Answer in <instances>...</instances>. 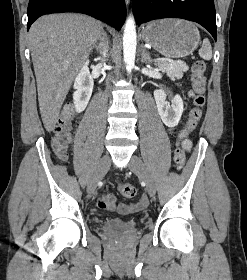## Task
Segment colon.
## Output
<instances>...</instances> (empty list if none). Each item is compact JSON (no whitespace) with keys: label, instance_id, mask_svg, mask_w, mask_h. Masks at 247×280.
<instances>
[{"label":"colon","instance_id":"obj_1","mask_svg":"<svg viewBox=\"0 0 247 280\" xmlns=\"http://www.w3.org/2000/svg\"><path fill=\"white\" fill-rule=\"evenodd\" d=\"M205 71L206 65L203 61H196L192 66L191 83L195 92L193 99L194 107L192 108L186 127L181 130L177 137L176 148L174 151V166L177 170H181L186 162V155L181 148V142L196 127L202 115V108L205 104ZM74 113L71 105H67L62 111L54 128L53 147L57 156L64 159L67 155V146L70 142V127ZM120 193L127 198L136 195V188L130 183H122L119 185Z\"/></svg>","mask_w":247,"mask_h":280}]
</instances>
